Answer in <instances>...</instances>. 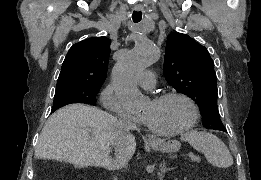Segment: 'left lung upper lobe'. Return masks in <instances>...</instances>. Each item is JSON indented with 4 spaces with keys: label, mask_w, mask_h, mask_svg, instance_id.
<instances>
[{
    "label": "left lung upper lobe",
    "mask_w": 261,
    "mask_h": 180,
    "mask_svg": "<svg viewBox=\"0 0 261 180\" xmlns=\"http://www.w3.org/2000/svg\"><path fill=\"white\" fill-rule=\"evenodd\" d=\"M163 73L176 91L196 102L207 129L225 131L217 108V83L207 49L186 34L168 35Z\"/></svg>",
    "instance_id": "left-lung-upper-lobe-1"
}]
</instances>
